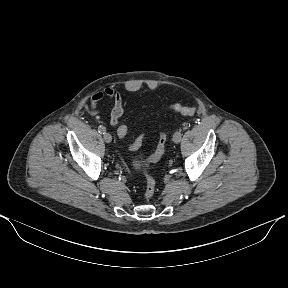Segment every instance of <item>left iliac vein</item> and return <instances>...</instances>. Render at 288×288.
I'll use <instances>...</instances> for the list:
<instances>
[{"instance_id": "obj_1", "label": "left iliac vein", "mask_w": 288, "mask_h": 288, "mask_svg": "<svg viewBox=\"0 0 288 288\" xmlns=\"http://www.w3.org/2000/svg\"><path fill=\"white\" fill-rule=\"evenodd\" d=\"M181 138H182V136H179V135L177 134V132L174 133V135H173V141H174V143H179V142L181 141Z\"/></svg>"}]
</instances>
